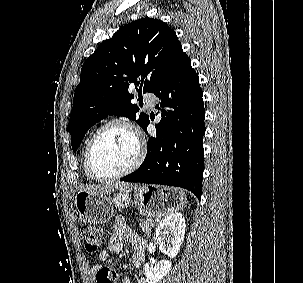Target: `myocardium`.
Masks as SVG:
<instances>
[{
	"mask_svg": "<svg viewBox=\"0 0 303 283\" xmlns=\"http://www.w3.org/2000/svg\"><path fill=\"white\" fill-rule=\"evenodd\" d=\"M111 126H121L125 129H127L133 135V137L136 141L137 152H136V156H135L133 162L128 167H126L125 169H123L122 171H119L117 173L103 176V175L98 174L93 166L92 152H93L94 145H95L97 139L99 138V136L101 135V133ZM145 152H146V148H145L144 140L134 125H132L131 123H129L125 120H122V119H111V120L105 122L104 124H102L92 134V136L87 144L86 151H85V164H86V167H87V170H88L90 176L93 179L98 180V181H110V180H115V179H119L124 176H127L130 173L134 172L137 168H139V166L142 164V162L145 158Z\"/></svg>",
	"mask_w": 303,
	"mask_h": 283,
	"instance_id": "myocardium-1",
	"label": "myocardium"
}]
</instances>
